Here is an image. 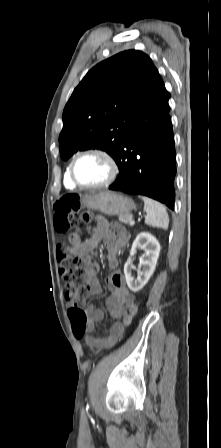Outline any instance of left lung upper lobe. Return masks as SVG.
<instances>
[{
	"mask_svg": "<svg viewBox=\"0 0 221 448\" xmlns=\"http://www.w3.org/2000/svg\"><path fill=\"white\" fill-rule=\"evenodd\" d=\"M165 90L151 59L141 51H123L97 64L64 108L59 135L62 159L95 148L115 159L139 114Z\"/></svg>",
	"mask_w": 221,
	"mask_h": 448,
	"instance_id": "5c2ea615",
	"label": "left lung upper lobe"
}]
</instances>
